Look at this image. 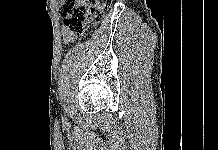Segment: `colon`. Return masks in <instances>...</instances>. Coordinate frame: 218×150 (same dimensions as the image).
I'll return each instance as SVG.
<instances>
[{
	"instance_id": "obj_1",
	"label": "colon",
	"mask_w": 218,
	"mask_h": 150,
	"mask_svg": "<svg viewBox=\"0 0 218 150\" xmlns=\"http://www.w3.org/2000/svg\"><path fill=\"white\" fill-rule=\"evenodd\" d=\"M111 0H61L60 12L68 30L81 36L94 20L110 5Z\"/></svg>"
}]
</instances>
